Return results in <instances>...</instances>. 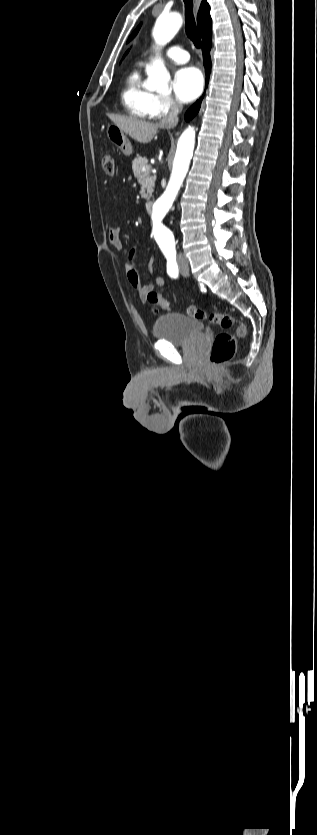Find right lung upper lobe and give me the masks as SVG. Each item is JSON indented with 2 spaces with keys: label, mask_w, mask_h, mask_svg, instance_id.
Wrapping results in <instances>:
<instances>
[{
  "label": "right lung upper lobe",
  "mask_w": 317,
  "mask_h": 835,
  "mask_svg": "<svg viewBox=\"0 0 317 835\" xmlns=\"http://www.w3.org/2000/svg\"><path fill=\"white\" fill-rule=\"evenodd\" d=\"M209 12L210 6L206 0H203L197 16L198 31L202 39L212 32V19Z\"/></svg>",
  "instance_id": "right-lung-upper-lobe-1"
}]
</instances>
